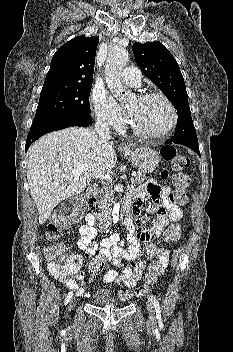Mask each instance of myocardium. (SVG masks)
<instances>
[{"label":"myocardium","mask_w":233,"mask_h":352,"mask_svg":"<svg viewBox=\"0 0 233 352\" xmlns=\"http://www.w3.org/2000/svg\"><path fill=\"white\" fill-rule=\"evenodd\" d=\"M152 98H159L161 100H163L166 105L168 106L170 112H171V120L168 124V126L166 127V129H164L163 131L159 132V133H149V132H145L141 129H139L131 120H129V125L131 130L133 131L134 134H136L137 136L141 137V138H145V139H161L164 138L165 136H167L175 127L177 120H178V114L176 111L175 106L173 105V103L171 102V100L165 96L163 93L160 92H147V93H143L140 94L138 96V100L140 101H146Z\"/></svg>","instance_id":"f54148a6"}]
</instances>
